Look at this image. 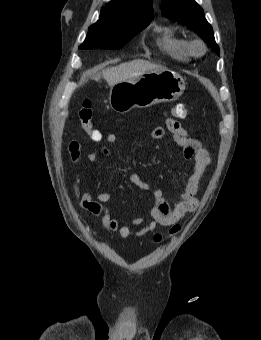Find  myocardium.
<instances>
[{"instance_id": "f54148a6", "label": "myocardium", "mask_w": 261, "mask_h": 340, "mask_svg": "<svg viewBox=\"0 0 261 340\" xmlns=\"http://www.w3.org/2000/svg\"><path fill=\"white\" fill-rule=\"evenodd\" d=\"M190 49L193 54L201 55L205 52V45L201 40H194L190 43Z\"/></svg>"}]
</instances>
